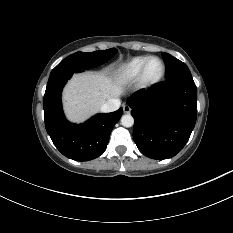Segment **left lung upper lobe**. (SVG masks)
<instances>
[{"instance_id":"obj_1","label":"left lung upper lobe","mask_w":233,"mask_h":233,"mask_svg":"<svg viewBox=\"0 0 233 233\" xmlns=\"http://www.w3.org/2000/svg\"><path fill=\"white\" fill-rule=\"evenodd\" d=\"M163 58L166 64V81L176 78H192L191 72L186 64L167 53H163Z\"/></svg>"}]
</instances>
